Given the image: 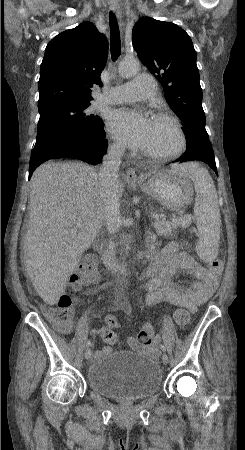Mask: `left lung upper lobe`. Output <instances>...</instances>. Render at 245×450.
Segmentation results:
<instances>
[{"label":"left lung upper lobe","instance_id":"1","mask_svg":"<svg viewBox=\"0 0 245 450\" xmlns=\"http://www.w3.org/2000/svg\"><path fill=\"white\" fill-rule=\"evenodd\" d=\"M132 43L182 121L187 138L185 153L210 148L196 52L189 35L176 24L143 17L133 27Z\"/></svg>","mask_w":245,"mask_h":450}]
</instances>
